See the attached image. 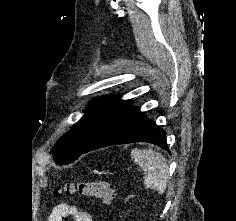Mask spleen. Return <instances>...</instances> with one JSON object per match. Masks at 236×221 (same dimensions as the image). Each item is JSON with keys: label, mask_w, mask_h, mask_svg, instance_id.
I'll use <instances>...</instances> for the list:
<instances>
[{"label": "spleen", "mask_w": 236, "mask_h": 221, "mask_svg": "<svg viewBox=\"0 0 236 221\" xmlns=\"http://www.w3.org/2000/svg\"><path fill=\"white\" fill-rule=\"evenodd\" d=\"M132 160L144 170V184L147 188L164 192L169 177L166 158L152 149H134Z\"/></svg>", "instance_id": "1"}]
</instances>
